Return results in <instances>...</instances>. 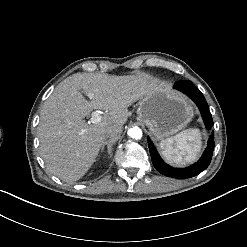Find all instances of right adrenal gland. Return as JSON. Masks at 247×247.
<instances>
[{"instance_id": "1", "label": "right adrenal gland", "mask_w": 247, "mask_h": 247, "mask_svg": "<svg viewBox=\"0 0 247 247\" xmlns=\"http://www.w3.org/2000/svg\"><path fill=\"white\" fill-rule=\"evenodd\" d=\"M115 143V141L109 139L107 141H105L102 146H101V152H103L105 146H107V152L110 156H112V146Z\"/></svg>"}]
</instances>
